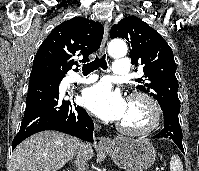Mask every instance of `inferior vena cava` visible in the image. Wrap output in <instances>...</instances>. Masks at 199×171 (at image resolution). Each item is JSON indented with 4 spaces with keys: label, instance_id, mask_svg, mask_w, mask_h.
<instances>
[{
    "label": "inferior vena cava",
    "instance_id": "602c4592",
    "mask_svg": "<svg viewBox=\"0 0 199 171\" xmlns=\"http://www.w3.org/2000/svg\"><path fill=\"white\" fill-rule=\"evenodd\" d=\"M86 156L85 152L83 150V144L81 143L78 152H77V157H76V166H77V171H86Z\"/></svg>",
    "mask_w": 199,
    "mask_h": 171
}]
</instances>
